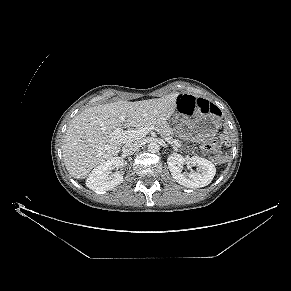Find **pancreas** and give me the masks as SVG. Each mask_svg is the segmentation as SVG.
Returning <instances> with one entry per match:
<instances>
[{
  "instance_id": "pancreas-1",
  "label": "pancreas",
  "mask_w": 291,
  "mask_h": 291,
  "mask_svg": "<svg viewBox=\"0 0 291 291\" xmlns=\"http://www.w3.org/2000/svg\"><path fill=\"white\" fill-rule=\"evenodd\" d=\"M143 126L152 127L154 130H156L158 132V134L161 135V137L163 139H165L172 146H175V141H178V140L174 139L173 129L165 121L146 123Z\"/></svg>"
}]
</instances>
